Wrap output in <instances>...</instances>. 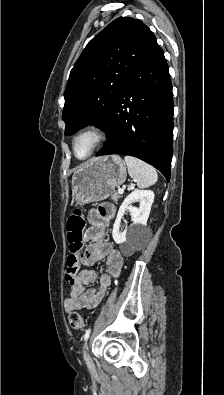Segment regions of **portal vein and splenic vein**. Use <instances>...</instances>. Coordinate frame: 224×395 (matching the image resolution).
Segmentation results:
<instances>
[{"instance_id":"portal-vein-and-splenic-vein-1","label":"portal vein and splenic vein","mask_w":224,"mask_h":395,"mask_svg":"<svg viewBox=\"0 0 224 395\" xmlns=\"http://www.w3.org/2000/svg\"><path fill=\"white\" fill-rule=\"evenodd\" d=\"M118 193L119 194H123L124 193V189H122V188L118 189Z\"/></svg>"}]
</instances>
